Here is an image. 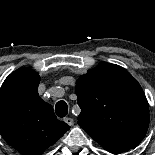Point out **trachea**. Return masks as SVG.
Listing matches in <instances>:
<instances>
[{"label":"trachea","mask_w":155,"mask_h":155,"mask_svg":"<svg viewBox=\"0 0 155 155\" xmlns=\"http://www.w3.org/2000/svg\"><path fill=\"white\" fill-rule=\"evenodd\" d=\"M55 112L58 117H65L68 113V106L65 101L61 100L56 103Z\"/></svg>","instance_id":"trachea-1"}]
</instances>
